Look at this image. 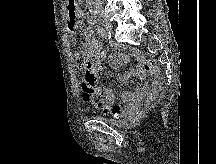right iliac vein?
Returning <instances> with one entry per match:
<instances>
[{"instance_id":"obj_1","label":"right iliac vein","mask_w":216,"mask_h":164,"mask_svg":"<svg viewBox=\"0 0 216 164\" xmlns=\"http://www.w3.org/2000/svg\"><path fill=\"white\" fill-rule=\"evenodd\" d=\"M100 22L103 25V27L106 29V31H108V32L112 31L113 26H112L111 22L108 19L101 18Z\"/></svg>"}]
</instances>
